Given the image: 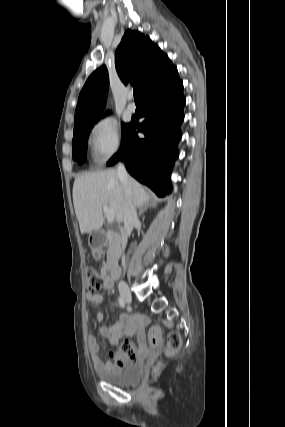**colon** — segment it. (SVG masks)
Instances as JSON below:
<instances>
[{"mask_svg": "<svg viewBox=\"0 0 285 427\" xmlns=\"http://www.w3.org/2000/svg\"><path fill=\"white\" fill-rule=\"evenodd\" d=\"M96 245H100V241L96 242ZM86 285L89 290H99L103 286V282L97 273V271L88 267L86 269ZM161 341V330L158 326H152L148 334V347L154 349L159 347ZM181 346V338L177 332H171L167 337V351L174 352ZM123 355L129 359L134 360L137 356V350L133 344L126 342L122 348ZM159 369V365L154 368V373Z\"/></svg>", "mask_w": 285, "mask_h": 427, "instance_id": "1", "label": "colon"}]
</instances>
